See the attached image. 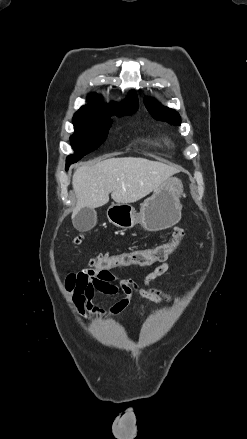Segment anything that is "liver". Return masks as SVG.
I'll return each mask as SVG.
<instances>
[{"mask_svg": "<svg viewBox=\"0 0 247 439\" xmlns=\"http://www.w3.org/2000/svg\"><path fill=\"white\" fill-rule=\"evenodd\" d=\"M178 169L141 157L110 158L84 164L74 173L72 185L77 197L72 217L85 207L108 203L109 194L119 204L136 202L157 189Z\"/></svg>", "mask_w": 247, "mask_h": 439, "instance_id": "6515ba94", "label": "liver"}]
</instances>
